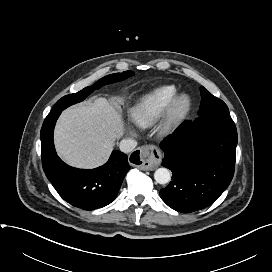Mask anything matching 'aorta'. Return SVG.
I'll list each match as a JSON object with an SVG mask.
<instances>
[{"instance_id":"762f6f07","label":"aorta","mask_w":272,"mask_h":272,"mask_svg":"<svg viewBox=\"0 0 272 272\" xmlns=\"http://www.w3.org/2000/svg\"><path fill=\"white\" fill-rule=\"evenodd\" d=\"M154 179L159 184H167L171 179L170 171L166 168H159L154 173Z\"/></svg>"}]
</instances>
